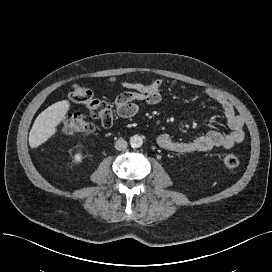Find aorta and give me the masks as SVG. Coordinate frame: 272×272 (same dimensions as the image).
I'll use <instances>...</instances> for the list:
<instances>
[{
  "label": "aorta",
  "mask_w": 272,
  "mask_h": 272,
  "mask_svg": "<svg viewBox=\"0 0 272 272\" xmlns=\"http://www.w3.org/2000/svg\"><path fill=\"white\" fill-rule=\"evenodd\" d=\"M143 144V139L141 136L139 135H133L131 138H130V145L132 148H139L141 147Z\"/></svg>",
  "instance_id": "762f6f07"
}]
</instances>
